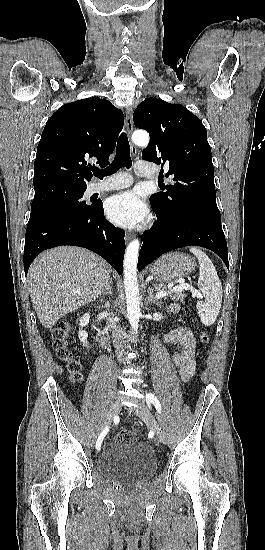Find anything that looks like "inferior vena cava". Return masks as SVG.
<instances>
[{
  "label": "inferior vena cava",
  "instance_id": "inferior-vena-cava-1",
  "mask_svg": "<svg viewBox=\"0 0 265 550\" xmlns=\"http://www.w3.org/2000/svg\"><path fill=\"white\" fill-rule=\"evenodd\" d=\"M107 325L112 333L113 344L116 349L118 360L119 362H122V357L126 346V333L117 325L112 313L107 319Z\"/></svg>",
  "mask_w": 265,
  "mask_h": 550
}]
</instances>
